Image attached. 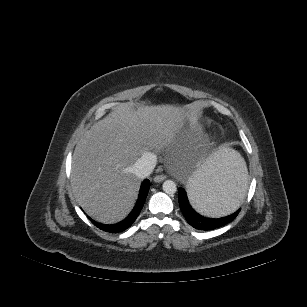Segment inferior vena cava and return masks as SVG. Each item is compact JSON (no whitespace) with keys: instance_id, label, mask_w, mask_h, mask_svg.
I'll return each instance as SVG.
<instances>
[{"instance_id":"1","label":"inferior vena cava","mask_w":307,"mask_h":307,"mask_svg":"<svg viewBox=\"0 0 307 307\" xmlns=\"http://www.w3.org/2000/svg\"><path fill=\"white\" fill-rule=\"evenodd\" d=\"M156 163V156L152 153H148L135 162L133 172L139 178L148 177L154 170Z\"/></svg>"}]
</instances>
